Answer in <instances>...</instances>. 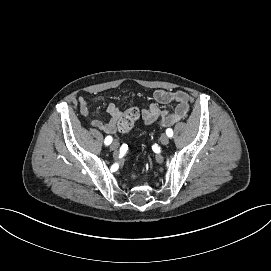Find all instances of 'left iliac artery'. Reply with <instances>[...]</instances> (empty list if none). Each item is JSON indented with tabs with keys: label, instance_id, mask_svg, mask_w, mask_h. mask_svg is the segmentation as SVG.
<instances>
[{
	"label": "left iliac artery",
	"instance_id": "44dca946",
	"mask_svg": "<svg viewBox=\"0 0 271 271\" xmlns=\"http://www.w3.org/2000/svg\"><path fill=\"white\" fill-rule=\"evenodd\" d=\"M166 134H167L168 137H172V136H173V130L170 129V128H168V129L166 130Z\"/></svg>",
	"mask_w": 271,
	"mask_h": 271
}]
</instances>
